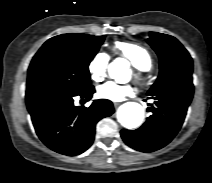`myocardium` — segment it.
Masks as SVG:
<instances>
[{"label":"myocardium","mask_w":212,"mask_h":183,"mask_svg":"<svg viewBox=\"0 0 212 183\" xmlns=\"http://www.w3.org/2000/svg\"><path fill=\"white\" fill-rule=\"evenodd\" d=\"M144 70H141L137 67H135V70H134V77L135 79L138 81V82H142L143 79H144Z\"/></svg>","instance_id":"f54148a6"}]
</instances>
